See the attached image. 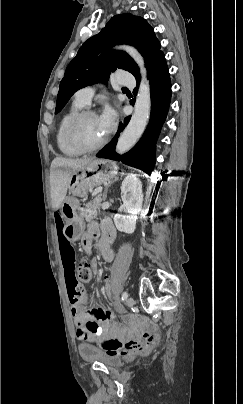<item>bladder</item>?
<instances>
[{"mask_svg": "<svg viewBox=\"0 0 243 404\" xmlns=\"http://www.w3.org/2000/svg\"><path fill=\"white\" fill-rule=\"evenodd\" d=\"M78 352L80 357L87 362H99L110 368H117L122 365V359L118 355L108 353L91 344H79Z\"/></svg>", "mask_w": 243, "mask_h": 404, "instance_id": "bladder-1", "label": "bladder"}]
</instances>
